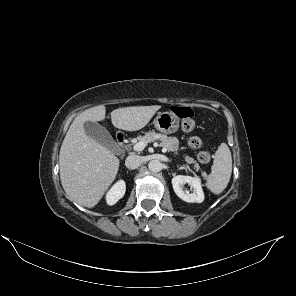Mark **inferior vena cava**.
<instances>
[{
  "label": "inferior vena cava",
  "mask_w": 296,
  "mask_h": 296,
  "mask_svg": "<svg viewBox=\"0 0 296 296\" xmlns=\"http://www.w3.org/2000/svg\"><path fill=\"white\" fill-rule=\"evenodd\" d=\"M141 163V158L137 155H130L125 160V165L128 169H136Z\"/></svg>",
  "instance_id": "obj_1"
}]
</instances>
